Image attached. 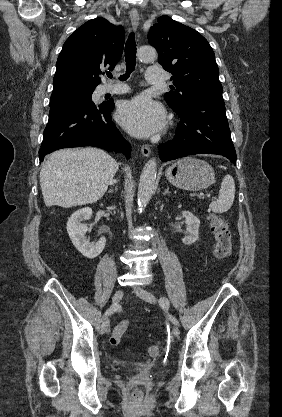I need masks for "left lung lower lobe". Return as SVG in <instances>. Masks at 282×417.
<instances>
[{"label":"left lung lower lobe","instance_id":"1","mask_svg":"<svg viewBox=\"0 0 282 417\" xmlns=\"http://www.w3.org/2000/svg\"><path fill=\"white\" fill-rule=\"evenodd\" d=\"M181 122L172 141L159 146L161 161L192 154H218L236 165L222 95L201 93L191 97L180 110Z\"/></svg>","mask_w":282,"mask_h":417}]
</instances>
